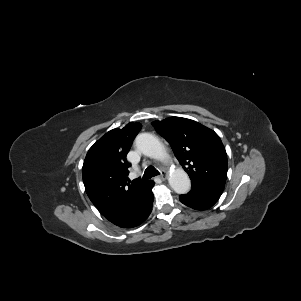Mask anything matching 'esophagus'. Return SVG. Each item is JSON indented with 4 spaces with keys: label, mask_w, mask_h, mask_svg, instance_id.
<instances>
[{
    "label": "esophagus",
    "mask_w": 301,
    "mask_h": 301,
    "mask_svg": "<svg viewBox=\"0 0 301 301\" xmlns=\"http://www.w3.org/2000/svg\"><path fill=\"white\" fill-rule=\"evenodd\" d=\"M159 178H160L161 180H166V179H167V175L165 174L164 171L161 172V174L159 175Z\"/></svg>",
    "instance_id": "1"
}]
</instances>
